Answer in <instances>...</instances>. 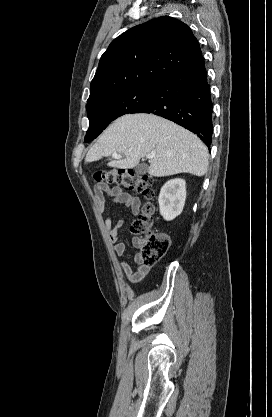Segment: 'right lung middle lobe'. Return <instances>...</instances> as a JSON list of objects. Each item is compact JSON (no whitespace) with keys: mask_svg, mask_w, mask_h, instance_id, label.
Listing matches in <instances>:
<instances>
[{"mask_svg":"<svg viewBox=\"0 0 272 417\" xmlns=\"http://www.w3.org/2000/svg\"><path fill=\"white\" fill-rule=\"evenodd\" d=\"M158 87L159 84L130 87L88 102L86 110L89 129L85 136V142L96 138L110 122L119 116L133 113L155 93Z\"/></svg>","mask_w":272,"mask_h":417,"instance_id":"obj_1","label":"right lung middle lobe"}]
</instances>
